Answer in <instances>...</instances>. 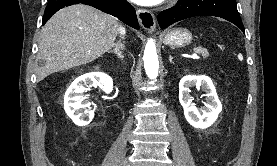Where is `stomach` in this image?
Returning <instances> with one entry per match:
<instances>
[{
	"label": "stomach",
	"instance_id": "obj_1",
	"mask_svg": "<svg viewBox=\"0 0 277 166\" xmlns=\"http://www.w3.org/2000/svg\"><path fill=\"white\" fill-rule=\"evenodd\" d=\"M192 41V33L187 29H173L166 33L163 43L170 47H184Z\"/></svg>",
	"mask_w": 277,
	"mask_h": 166
}]
</instances>
